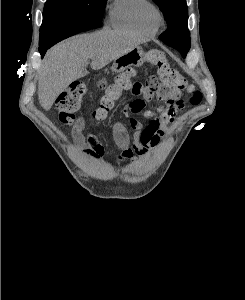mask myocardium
Wrapping results in <instances>:
<instances>
[{"mask_svg": "<svg viewBox=\"0 0 245 300\" xmlns=\"http://www.w3.org/2000/svg\"><path fill=\"white\" fill-rule=\"evenodd\" d=\"M149 20H150V22H152L153 24H155L157 26L161 25L162 17H161V14L159 13V11L156 8L150 12Z\"/></svg>", "mask_w": 245, "mask_h": 300, "instance_id": "f54148a6", "label": "myocardium"}]
</instances>
